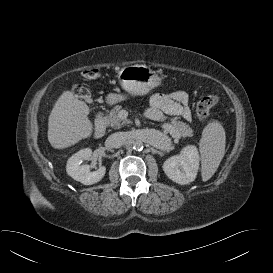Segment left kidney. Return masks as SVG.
<instances>
[{"label": "left kidney", "instance_id": "1", "mask_svg": "<svg viewBox=\"0 0 273 273\" xmlns=\"http://www.w3.org/2000/svg\"><path fill=\"white\" fill-rule=\"evenodd\" d=\"M199 169V153L195 146L188 145L179 155L168 158L163 164V170L169 179L185 185L195 180Z\"/></svg>", "mask_w": 273, "mask_h": 273}]
</instances>
